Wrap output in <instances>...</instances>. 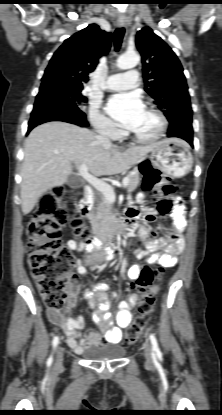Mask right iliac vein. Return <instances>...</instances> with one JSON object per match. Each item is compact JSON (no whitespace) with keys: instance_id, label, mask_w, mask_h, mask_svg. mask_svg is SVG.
<instances>
[{"instance_id":"obj_1","label":"right iliac vein","mask_w":222,"mask_h":415,"mask_svg":"<svg viewBox=\"0 0 222 415\" xmlns=\"http://www.w3.org/2000/svg\"><path fill=\"white\" fill-rule=\"evenodd\" d=\"M63 356H64V350L61 346H59L58 349H57V355H56V365L57 366H60L62 364Z\"/></svg>"}]
</instances>
